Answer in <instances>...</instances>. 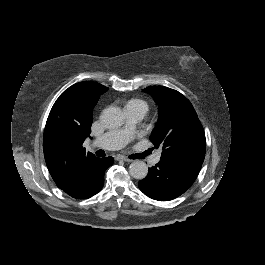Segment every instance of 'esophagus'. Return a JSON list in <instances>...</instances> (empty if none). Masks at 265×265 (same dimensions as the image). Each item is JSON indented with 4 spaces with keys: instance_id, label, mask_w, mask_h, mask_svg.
Here are the masks:
<instances>
[{
    "instance_id": "obj_1",
    "label": "esophagus",
    "mask_w": 265,
    "mask_h": 265,
    "mask_svg": "<svg viewBox=\"0 0 265 265\" xmlns=\"http://www.w3.org/2000/svg\"><path fill=\"white\" fill-rule=\"evenodd\" d=\"M116 160H121V161H125V162H131L132 161L131 159H128L123 155L116 156Z\"/></svg>"
}]
</instances>
